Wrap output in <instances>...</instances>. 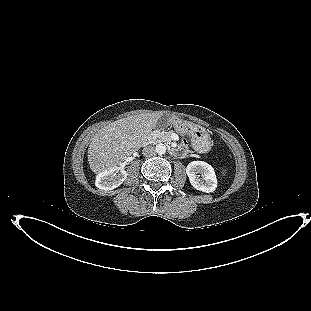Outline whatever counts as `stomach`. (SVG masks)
Masks as SVG:
<instances>
[{"label": "stomach", "instance_id": "0dacf381", "mask_svg": "<svg viewBox=\"0 0 311 311\" xmlns=\"http://www.w3.org/2000/svg\"><path fill=\"white\" fill-rule=\"evenodd\" d=\"M172 124L176 131L179 133H185L190 128L186 123L176 117L170 118L168 123ZM192 147L198 153H207L212 147V141L209 135L201 129L191 128Z\"/></svg>", "mask_w": 311, "mask_h": 311}]
</instances>
